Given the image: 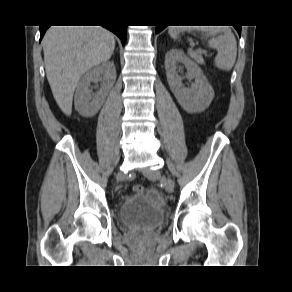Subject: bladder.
I'll use <instances>...</instances> for the list:
<instances>
[{
  "instance_id": "bladder-1",
  "label": "bladder",
  "mask_w": 292,
  "mask_h": 292,
  "mask_svg": "<svg viewBox=\"0 0 292 292\" xmlns=\"http://www.w3.org/2000/svg\"><path fill=\"white\" fill-rule=\"evenodd\" d=\"M166 217L165 205L156 191L127 196L120 204L119 219L128 227L153 228Z\"/></svg>"
}]
</instances>
